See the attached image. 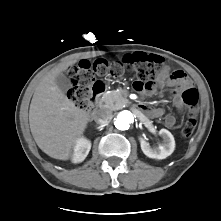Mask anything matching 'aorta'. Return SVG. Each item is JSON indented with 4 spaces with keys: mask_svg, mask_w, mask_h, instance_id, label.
I'll return each mask as SVG.
<instances>
[{
    "mask_svg": "<svg viewBox=\"0 0 221 221\" xmlns=\"http://www.w3.org/2000/svg\"><path fill=\"white\" fill-rule=\"evenodd\" d=\"M135 115L129 111L124 110L118 114L115 119V127L119 130H127L134 123Z\"/></svg>",
    "mask_w": 221,
    "mask_h": 221,
    "instance_id": "aorta-1",
    "label": "aorta"
}]
</instances>
